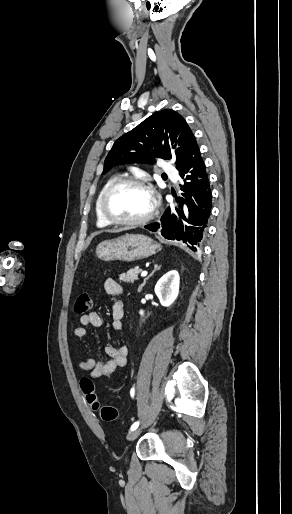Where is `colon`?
Returning <instances> with one entry per match:
<instances>
[{"label": "colon", "mask_w": 292, "mask_h": 514, "mask_svg": "<svg viewBox=\"0 0 292 514\" xmlns=\"http://www.w3.org/2000/svg\"><path fill=\"white\" fill-rule=\"evenodd\" d=\"M92 299L90 294L82 293L80 294L74 304L75 312L79 315L87 314L90 312L92 308ZM87 376L83 380H81L80 387L81 390L88 394L86 397V401L88 404L92 405V407L99 412L100 417L104 421L113 420L116 418L118 411L115 407L109 405H103L100 401H98L97 397L93 394L95 390L94 383L91 379H88Z\"/></svg>", "instance_id": "obj_1"}]
</instances>
